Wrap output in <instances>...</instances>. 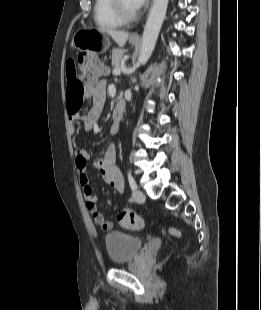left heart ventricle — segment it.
<instances>
[{"label":"left heart ventricle","mask_w":261,"mask_h":310,"mask_svg":"<svg viewBox=\"0 0 261 310\" xmlns=\"http://www.w3.org/2000/svg\"><path fill=\"white\" fill-rule=\"evenodd\" d=\"M122 1V5L124 7V9L127 12L133 13L136 11L135 7L133 6L131 0H121Z\"/></svg>","instance_id":"1"}]
</instances>
